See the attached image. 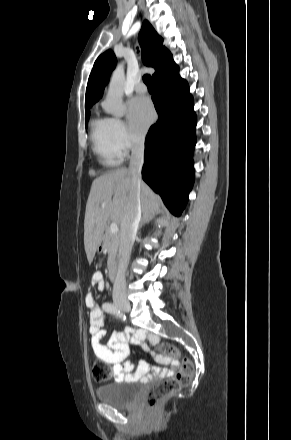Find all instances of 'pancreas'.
<instances>
[{
    "label": "pancreas",
    "instance_id": "cf45deb5",
    "mask_svg": "<svg viewBox=\"0 0 291 440\" xmlns=\"http://www.w3.org/2000/svg\"><path fill=\"white\" fill-rule=\"evenodd\" d=\"M103 248L108 253V265L115 263L119 247V234H112L108 227L105 228V234L102 237Z\"/></svg>",
    "mask_w": 291,
    "mask_h": 440
}]
</instances>
